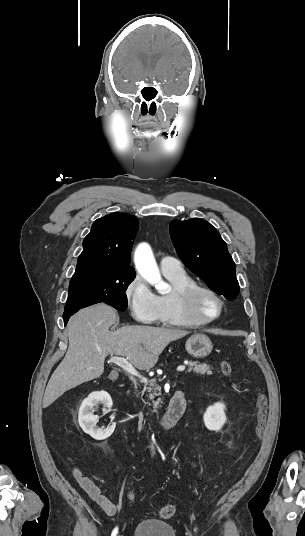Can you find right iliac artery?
<instances>
[{
	"label": "right iliac artery",
	"mask_w": 305,
	"mask_h": 536,
	"mask_svg": "<svg viewBox=\"0 0 305 536\" xmlns=\"http://www.w3.org/2000/svg\"><path fill=\"white\" fill-rule=\"evenodd\" d=\"M117 532H118V529H117V528H115V529L113 530V532H112L111 536H116Z\"/></svg>",
	"instance_id": "right-iliac-artery-1"
}]
</instances>
